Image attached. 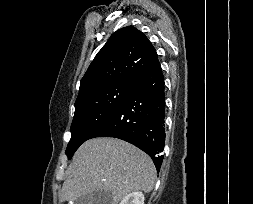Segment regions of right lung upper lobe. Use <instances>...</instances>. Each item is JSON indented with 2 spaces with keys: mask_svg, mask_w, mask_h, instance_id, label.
<instances>
[{
  "mask_svg": "<svg viewBox=\"0 0 253 204\" xmlns=\"http://www.w3.org/2000/svg\"><path fill=\"white\" fill-rule=\"evenodd\" d=\"M158 56L148 38L133 26L117 30L98 52L81 79L78 98L113 83H134Z\"/></svg>",
  "mask_w": 253,
  "mask_h": 204,
  "instance_id": "cb5924a9",
  "label": "right lung upper lobe"
}]
</instances>
